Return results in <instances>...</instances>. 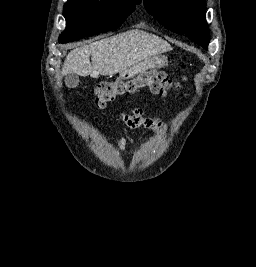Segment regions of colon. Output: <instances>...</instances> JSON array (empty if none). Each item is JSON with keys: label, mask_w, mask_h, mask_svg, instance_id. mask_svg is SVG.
Returning a JSON list of instances; mask_svg holds the SVG:
<instances>
[{"label": "colon", "mask_w": 256, "mask_h": 267, "mask_svg": "<svg viewBox=\"0 0 256 267\" xmlns=\"http://www.w3.org/2000/svg\"><path fill=\"white\" fill-rule=\"evenodd\" d=\"M188 67L186 63L181 64L182 69ZM172 84L164 72L154 69L152 73H141L136 77H129V81H122V78H119L113 82L101 83L94 91V103L97 107L103 108L109 102L126 95H134L144 87L159 95H165Z\"/></svg>", "instance_id": "obj_1"}]
</instances>
